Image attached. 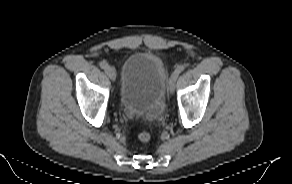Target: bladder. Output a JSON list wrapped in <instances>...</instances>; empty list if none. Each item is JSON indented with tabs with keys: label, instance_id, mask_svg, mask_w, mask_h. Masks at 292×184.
Returning <instances> with one entry per match:
<instances>
[{
	"label": "bladder",
	"instance_id": "bladder-1",
	"mask_svg": "<svg viewBox=\"0 0 292 184\" xmlns=\"http://www.w3.org/2000/svg\"><path fill=\"white\" fill-rule=\"evenodd\" d=\"M168 72L165 64L151 52L130 55L122 69L119 103L132 116L156 120L163 111Z\"/></svg>",
	"mask_w": 292,
	"mask_h": 184
}]
</instances>
